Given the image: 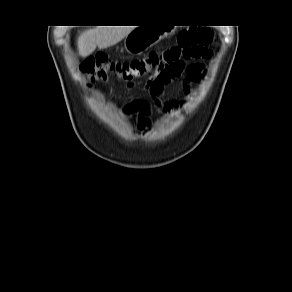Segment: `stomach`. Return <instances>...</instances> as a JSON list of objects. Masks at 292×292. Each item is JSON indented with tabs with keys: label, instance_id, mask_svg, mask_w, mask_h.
Returning <instances> with one entry per match:
<instances>
[{
	"label": "stomach",
	"instance_id": "1",
	"mask_svg": "<svg viewBox=\"0 0 292 292\" xmlns=\"http://www.w3.org/2000/svg\"><path fill=\"white\" fill-rule=\"evenodd\" d=\"M163 33L154 27H136L125 37V50L129 54L140 55L158 43L163 37Z\"/></svg>",
	"mask_w": 292,
	"mask_h": 292
}]
</instances>
